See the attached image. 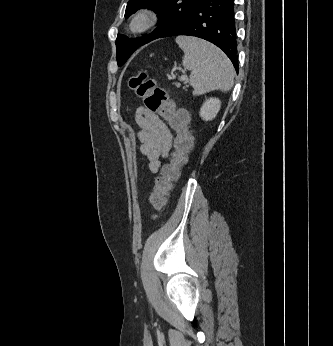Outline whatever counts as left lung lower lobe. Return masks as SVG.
<instances>
[{
	"label": "left lung lower lobe",
	"instance_id": "1",
	"mask_svg": "<svg viewBox=\"0 0 333 346\" xmlns=\"http://www.w3.org/2000/svg\"><path fill=\"white\" fill-rule=\"evenodd\" d=\"M234 15L233 0H200L182 20L159 38L188 35L205 39L222 49L238 72Z\"/></svg>",
	"mask_w": 333,
	"mask_h": 346
}]
</instances>
